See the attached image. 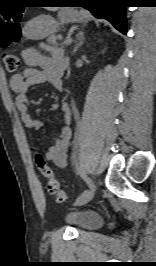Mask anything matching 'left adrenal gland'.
<instances>
[{
	"label": "left adrenal gland",
	"mask_w": 156,
	"mask_h": 266,
	"mask_svg": "<svg viewBox=\"0 0 156 266\" xmlns=\"http://www.w3.org/2000/svg\"><path fill=\"white\" fill-rule=\"evenodd\" d=\"M77 40L78 42L76 43L75 47H74V50H73V54L76 53L77 49L79 47H81L85 41V38H84V32L83 31H79L78 35H77Z\"/></svg>",
	"instance_id": "1"
}]
</instances>
